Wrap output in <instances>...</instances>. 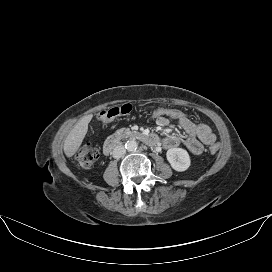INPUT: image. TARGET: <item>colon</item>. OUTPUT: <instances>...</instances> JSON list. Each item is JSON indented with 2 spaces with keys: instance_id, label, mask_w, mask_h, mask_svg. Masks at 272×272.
Listing matches in <instances>:
<instances>
[{
  "instance_id": "5ec220e1",
  "label": "colon",
  "mask_w": 272,
  "mask_h": 272,
  "mask_svg": "<svg viewBox=\"0 0 272 272\" xmlns=\"http://www.w3.org/2000/svg\"><path fill=\"white\" fill-rule=\"evenodd\" d=\"M134 107L131 104H123L110 107L103 110L99 118L102 122H108L117 116L129 114ZM153 118L175 119L177 121L187 119L188 116L181 110L175 108H157L151 112ZM219 150L218 144H213L209 147L211 154L217 153ZM99 157L97 148L91 143H86L80 147L76 153V161L81 167L88 168L92 166Z\"/></svg>"
}]
</instances>
